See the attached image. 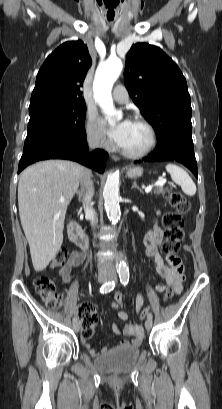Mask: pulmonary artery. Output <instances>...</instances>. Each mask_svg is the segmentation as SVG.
I'll return each mask as SVG.
<instances>
[{"label":"pulmonary artery","mask_w":222,"mask_h":409,"mask_svg":"<svg viewBox=\"0 0 222 409\" xmlns=\"http://www.w3.org/2000/svg\"><path fill=\"white\" fill-rule=\"evenodd\" d=\"M113 98L120 104H125L129 100V95L123 85H117L113 90Z\"/></svg>","instance_id":"obj_1"}]
</instances>
